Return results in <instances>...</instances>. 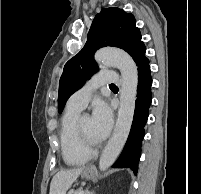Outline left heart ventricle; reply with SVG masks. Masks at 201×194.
<instances>
[{
    "instance_id": "obj_1",
    "label": "left heart ventricle",
    "mask_w": 201,
    "mask_h": 194,
    "mask_svg": "<svg viewBox=\"0 0 201 194\" xmlns=\"http://www.w3.org/2000/svg\"><path fill=\"white\" fill-rule=\"evenodd\" d=\"M81 128L89 140L97 142V139L93 135L92 121L90 117H84L80 120Z\"/></svg>"
}]
</instances>
